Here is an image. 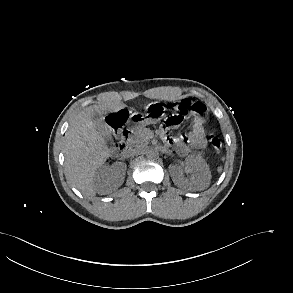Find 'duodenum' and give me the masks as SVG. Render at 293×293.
I'll return each instance as SVG.
<instances>
[{
    "label": "duodenum",
    "mask_w": 293,
    "mask_h": 293,
    "mask_svg": "<svg viewBox=\"0 0 293 293\" xmlns=\"http://www.w3.org/2000/svg\"><path fill=\"white\" fill-rule=\"evenodd\" d=\"M130 133H131V130L129 127H125L121 130L120 137H119V144L117 145V148L115 149V154L123 153L127 149L129 145V140H130Z\"/></svg>",
    "instance_id": "duodenum-1"
}]
</instances>
